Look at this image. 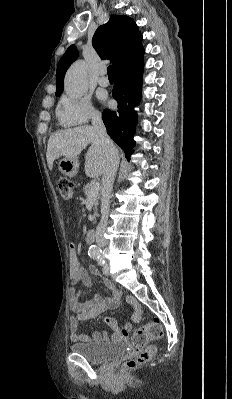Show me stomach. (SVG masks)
I'll list each match as a JSON object with an SVG mask.
<instances>
[{"label":"stomach","instance_id":"stomach-1","mask_svg":"<svg viewBox=\"0 0 232 399\" xmlns=\"http://www.w3.org/2000/svg\"><path fill=\"white\" fill-rule=\"evenodd\" d=\"M79 160L78 158H63L58 162V170L68 178H74L78 172Z\"/></svg>","mask_w":232,"mask_h":399}]
</instances>
